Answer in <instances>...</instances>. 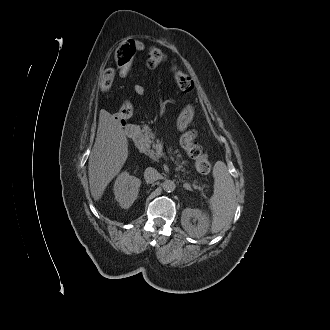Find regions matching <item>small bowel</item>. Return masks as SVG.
<instances>
[{
    "mask_svg": "<svg viewBox=\"0 0 330 330\" xmlns=\"http://www.w3.org/2000/svg\"><path fill=\"white\" fill-rule=\"evenodd\" d=\"M132 42L134 43V45H135V49H136L137 51H141V50H143V48H144V44H143L141 41L136 40V41H132ZM132 67H133V61H132L131 63L125 65V66H119V68H118V76L121 77V78L127 77V76L130 74V72H131V70H132ZM134 91H135V93H136L137 95L142 96V95L145 93V88H144V86L141 85V84H136V85L134 86ZM132 112H133V108H132ZM118 115H119V117L122 119V121H125V120H127L132 114L129 115V111H128V109H127V108L125 107V105L123 104V105L121 106V108L119 109V111H118Z\"/></svg>",
    "mask_w": 330,
    "mask_h": 330,
    "instance_id": "obj_1",
    "label": "small bowel"
}]
</instances>
